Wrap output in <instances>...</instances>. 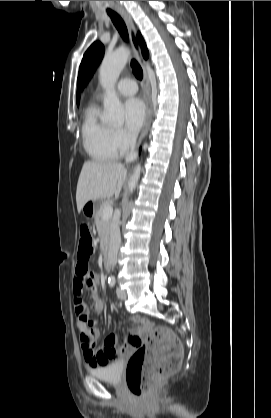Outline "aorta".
Listing matches in <instances>:
<instances>
[{"mask_svg":"<svg viewBox=\"0 0 271 418\" xmlns=\"http://www.w3.org/2000/svg\"><path fill=\"white\" fill-rule=\"evenodd\" d=\"M129 57V51L126 49H118L112 54L104 57L100 69L99 79L102 86L106 90L104 98V115L103 121L112 125H122L124 121V108L115 93V84L125 67ZM141 174V165L134 167L133 174L130 177L128 188L132 193L136 188Z\"/></svg>","mask_w":271,"mask_h":418,"instance_id":"1","label":"aorta"}]
</instances>
